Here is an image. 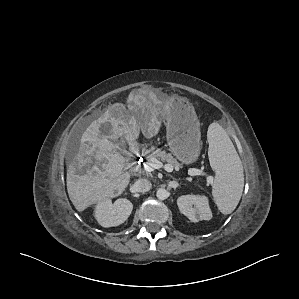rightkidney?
Masks as SVG:
<instances>
[{
    "label": "right kidney",
    "mask_w": 299,
    "mask_h": 299,
    "mask_svg": "<svg viewBox=\"0 0 299 299\" xmlns=\"http://www.w3.org/2000/svg\"><path fill=\"white\" fill-rule=\"evenodd\" d=\"M132 209V203L125 198L117 199L114 203L106 199L96 205L95 218L102 227H115L128 219Z\"/></svg>",
    "instance_id": "right-kidney-1"
}]
</instances>
